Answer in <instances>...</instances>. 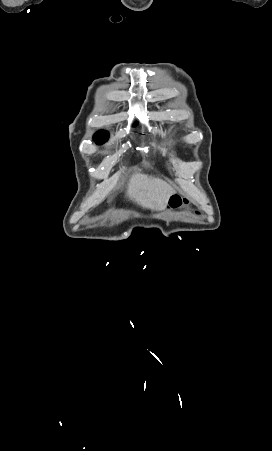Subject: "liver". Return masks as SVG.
<instances>
[{"mask_svg": "<svg viewBox=\"0 0 272 451\" xmlns=\"http://www.w3.org/2000/svg\"><path fill=\"white\" fill-rule=\"evenodd\" d=\"M126 194L130 200H134L142 208L162 212L165 210L170 196L175 194V190L159 178L150 180L144 174H135L129 180Z\"/></svg>", "mask_w": 272, "mask_h": 451, "instance_id": "6515ba94", "label": "liver"}]
</instances>
